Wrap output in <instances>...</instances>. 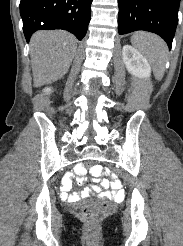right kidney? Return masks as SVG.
Listing matches in <instances>:
<instances>
[{
    "label": "right kidney",
    "mask_w": 183,
    "mask_h": 246,
    "mask_svg": "<svg viewBox=\"0 0 183 246\" xmlns=\"http://www.w3.org/2000/svg\"><path fill=\"white\" fill-rule=\"evenodd\" d=\"M44 91H45V92H50L51 89H50V88H46Z\"/></svg>",
    "instance_id": "obj_1"
}]
</instances>
